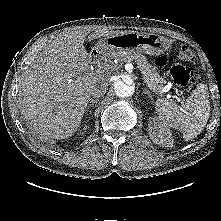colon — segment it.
<instances>
[{
	"label": "colon",
	"instance_id": "obj_1",
	"mask_svg": "<svg viewBox=\"0 0 221 221\" xmlns=\"http://www.w3.org/2000/svg\"><path fill=\"white\" fill-rule=\"evenodd\" d=\"M178 60L179 63L173 65L171 68V75L178 85L185 86L191 81L193 72L188 66L183 64L194 62L195 55L188 46H182L179 51ZM159 61L161 62L162 59Z\"/></svg>",
	"mask_w": 221,
	"mask_h": 221
}]
</instances>
